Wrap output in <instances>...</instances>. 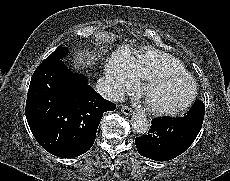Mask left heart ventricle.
<instances>
[{"label":"left heart ventricle","mask_w":230,"mask_h":181,"mask_svg":"<svg viewBox=\"0 0 230 181\" xmlns=\"http://www.w3.org/2000/svg\"><path fill=\"white\" fill-rule=\"evenodd\" d=\"M191 90V84L183 78H166L154 85L149 93V100L160 106L180 104Z\"/></svg>","instance_id":"b2bd125f"}]
</instances>
